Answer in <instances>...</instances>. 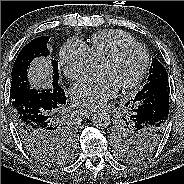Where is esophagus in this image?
Segmentation results:
<instances>
[{"label":"esophagus","instance_id":"esophagus-1","mask_svg":"<svg viewBox=\"0 0 184 184\" xmlns=\"http://www.w3.org/2000/svg\"><path fill=\"white\" fill-rule=\"evenodd\" d=\"M85 114H90V113H93V112H96L97 110H82Z\"/></svg>","mask_w":184,"mask_h":184}]
</instances>
